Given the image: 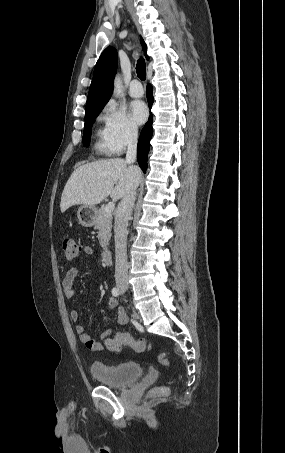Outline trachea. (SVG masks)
Here are the masks:
<instances>
[{"label": "trachea", "mask_w": 285, "mask_h": 453, "mask_svg": "<svg viewBox=\"0 0 285 453\" xmlns=\"http://www.w3.org/2000/svg\"><path fill=\"white\" fill-rule=\"evenodd\" d=\"M136 73L141 80L146 79V64L143 58H140L137 62Z\"/></svg>", "instance_id": "3493384b"}]
</instances>
